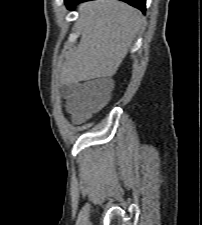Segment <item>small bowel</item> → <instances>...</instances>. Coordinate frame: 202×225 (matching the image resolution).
<instances>
[{
    "label": "small bowel",
    "mask_w": 202,
    "mask_h": 225,
    "mask_svg": "<svg viewBox=\"0 0 202 225\" xmlns=\"http://www.w3.org/2000/svg\"><path fill=\"white\" fill-rule=\"evenodd\" d=\"M99 82L102 85H114V80L110 77L99 78ZM69 111L75 121H80L86 115L90 114L91 108L88 104V99L85 94H82L79 90H76L73 97L68 102Z\"/></svg>",
    "instance_id": "c3829d8e"
}]
</instances>
